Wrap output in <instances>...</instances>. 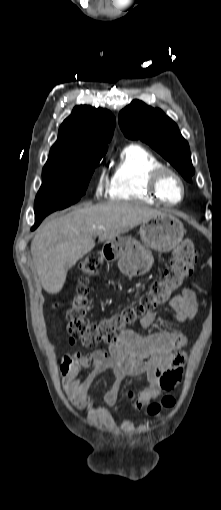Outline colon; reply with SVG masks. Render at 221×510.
I'll use <instances>...</instances> for the list:
<instances>
[{
    "label": "colon",
    "mask_w": 221,
    "mask_h": 510,
    "mask_svg": "<svg viewBox=\"0 0 221 510\" xmlns=\"http://www.w3.org/2000/svg\"><path fill=\"white\" fill-rule=\"evenodd\" d=\"M197 258L193 242L182 241L174 250L162 277L153 281L138 299L111 316L93 321L88 316L90 302L87 282L94 276L99 258L96 255L86 257L79 264L80 283L66 311L69 334L86 347L116 342L120 334L135 325L140 318L169 301L174 291L190 276ZM174 404L171 395H164L160 401L149 405L148 412L152 416H159L161 410L170 409Z\"/></svg>",
    "instance_id": "colon-1"
}]
</instances>
